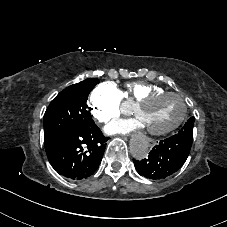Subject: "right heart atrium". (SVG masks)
<instances>
[{
  "mask_svg": "<svg viewBox=\"0 0 227 227\" xmlns=\"http://www.w3.org/2000/svg\"><path fill=\"white\" fill-rule=\"evenodd\" d=\"M93 116L101 123L116 121L121 114L120 90L111 82L99 84L90 95Z\"/></svg>",
  "mask_w": 227,
  "mask_h": 227,
  "instance_id": "obj_1",
  "label": "right heart atrium"
}]
</instances>
